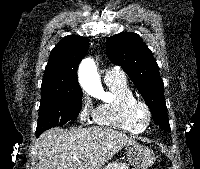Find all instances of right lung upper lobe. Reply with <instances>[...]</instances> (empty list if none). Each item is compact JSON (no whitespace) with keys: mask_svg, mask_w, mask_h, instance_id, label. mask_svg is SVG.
<instances>
[{"mask_svg":"<svg viewBox=\"0 0 200 169\" xmlns=\"http://www.w3.org/2000/svg\"><path fill=\"white\" fill-rule=\"evenodd\" d=\"M88 45L87 37L69 35L52 49L41 85L42 97L82 92L77 69L86 55Z\"/></svg>","mask_w":200,"mask_h":169,"instance_id":"cb5924a9","label":"right lung upper lobe"}]
</instances>
